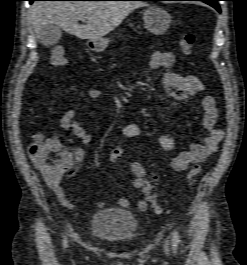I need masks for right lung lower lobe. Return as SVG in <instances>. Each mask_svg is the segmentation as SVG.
<instances>
[{
    "instance_id": "98d812e1",
    "label": "right lung lower lobe",
    "mask_w": 247,
    "mask_h": 265,
    "mask_svg": "<svg viewBox=\"0 0 247 265\" xmlns=\"http://www.w3.org/2000/svg\"><path fill=\"white\" fill-rule=\"evenodd\" d=\"M30 3H33V1H36V0H28ZM89 1H98V0H89ZM141 1H144V0H141Z\"/></svg>"
}]
</instances>
